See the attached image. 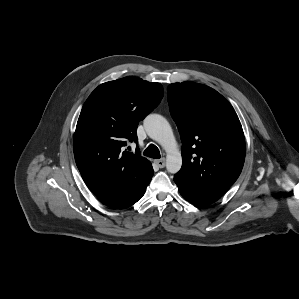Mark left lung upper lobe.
Returning a JSON list of instances; mask_svg holds the SVG:
<instances>
[{
  "instance_id": "left-lung-upper-lobe-1",
  "label": "left lung upper lobe",
  "mask_w": 299,
  "mask_h": 299,
  "mask_svg": "<svg viewBox=\"0 0 299 299\" xmlns=\"http://www.w3.org/2000/svg\"><path fill=\"white\" fill-rule=\"evenodd\" d=\"M170 113L182 141V167L175 177L224 195L239 177L245 138L232 105L216 90L190 81L168 86Z\"/></svg>"
}]
</instances>
